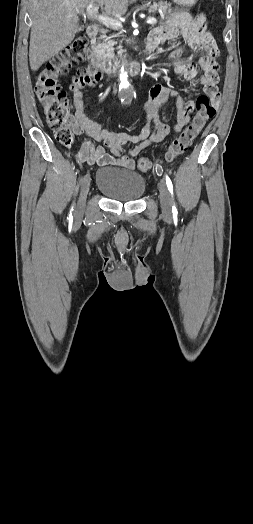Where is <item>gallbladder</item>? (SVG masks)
I'll use <instances>...</instances> for the list:
<instances>
[{"label": "gallbladder", "mask_w": 253, "mask_h": 524, "mask_svg": "<svg viewBox=\"0 0 253 524\" xmlns=\"http://www.w3.org/2000/svg\"><path fill=\"white\" fill-rule=\"evenodd\" d=\"M83 28H84V26H83V25H81V26L79 27V30H82Z\"/></svg>", "instance_id": "obj_1"}]
</instances>
